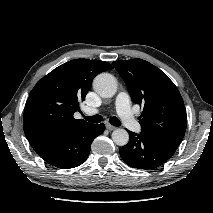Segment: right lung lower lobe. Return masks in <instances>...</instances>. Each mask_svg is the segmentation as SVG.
<instances>
[{
    "label": "right lung lower lobe",
    "instance_id": "1",
    "mask_svg": "<svg viewBox=\"0 0 213 213\" xmlns=\"http://www.w3.org/2000/svg\"><path fill=\"white\" fill-rule=\"evenodd\" d=\"M104 124H88L59 137H28L35 152L49 164L69 169L82 164L90 153L91 143L103 133Z\"/></svg>",
    "mask_w": 213,
    "mask_h": 213
}]
</instances>
